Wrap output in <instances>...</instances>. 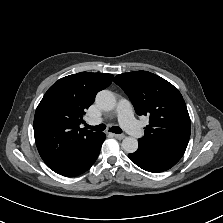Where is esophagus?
Masks as SVG:
<instances>
[{
    "mask_svg": "<svg viewBox=\"0 0 223 223\" xmlns=\"http://www.w3.org/2000/svg\"><path fill=\"white\" fill-rule=\"evenodd\" d=\"M116 139L122 140L125 136L123 134H114Z\"/></svg>",
    "mask_w": 223,
    "mask_h": 223,
    "instance_id": "1",
    "label": "esophagus"
}]
</instances>
